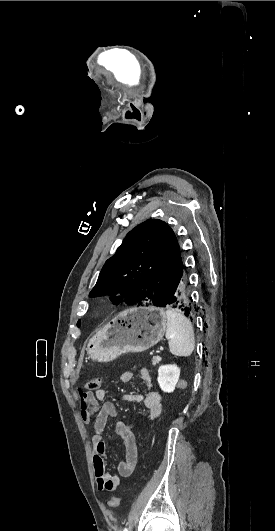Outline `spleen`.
I'll use <instances>...</instances> for the list:
<instances>
[{"instance_id": "1", "label": "spleen", "mask_w": 275, "mask_h": 531, "mask_svg": "<svg viewBox=\"0 0 275 531\" xmlns=\"http://www.w3.org/2000/svg\"><path fill=\"white\" fill-rule=\"evenodd\" d=\"M167 327L166 339H172L169 342V349L172 355L176 357H189L192 355L195 347L194 331L191 321L174 309L166 311Z\"/></svg>"}]
</instances>
